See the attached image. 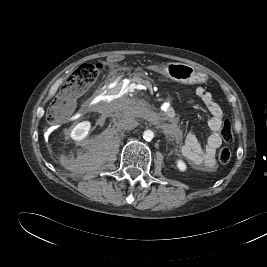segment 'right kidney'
I'll list each match as a JSON object with an SVG mask.
<instances>
[{"instance_id":"right-kidney-1","label":"right kidney","mask_w":267,"mask_h":267,"mask_svg":"<svg viewBox=\"0 0 267 267\" xmlns=\"http://www.w3.org/2000/svg\"><path fill=\"white\" fill-rule=\"evenodd\" d=\"M91 128V123L89 121H83L78 123L70 133L73 140L80 141L83 140L89 133Z\"/></svg>"}]
</instances>
